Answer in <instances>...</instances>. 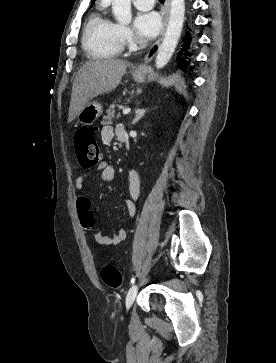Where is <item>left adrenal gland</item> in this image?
Instances as JSON below:
<instances>
[{
    "label": "left adrenal gland",
    "instance_id": "1",
    "mask_svg": "<svg viewBox=\"0 0 276 363\" xmlns=\"http://www.w3.org/2000/svg\"><path fill=\"white\" fill-rule=\"evenodd\" d=\"M146 111L147 110H145V109H139V108L136 109L135 110L136 115H135V118H134L132 124L137 123L145 115Z\"/></svg>",
    "mask_w": 276,
    "mask_h": 363
}]
</instances>
